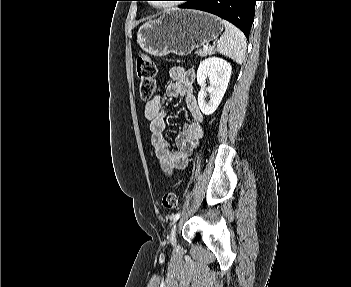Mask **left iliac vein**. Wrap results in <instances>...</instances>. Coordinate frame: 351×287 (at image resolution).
Masks as SVG:
<instances>
[{
	"label": "left iliac vein",
	"instance_id": "1",
	"mask_svg": "<svg viewBox=\"0 0 351 287\" xmlns=\"http://www.w3.org/2000/svg\"><path fill=\"white\" fill-rule=\"evenodd\" d=\"M176 232H177V225H174V227L172 228L171 233L169 235V240L171 242H175V240H176Z\"/></svg>",
	"mask_w": 351,
	"mask_h": 287
}]
</instances>
